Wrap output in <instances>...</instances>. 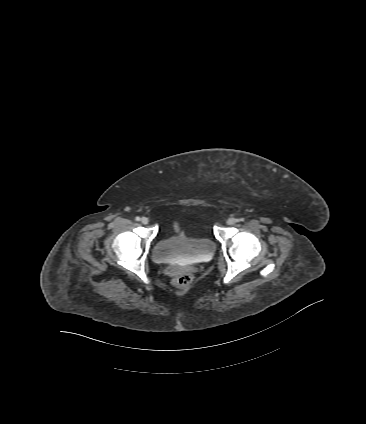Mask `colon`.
<instances>
[{
    "instance_id": "5ec220e1",
    "label": "colon",
    "mask_w": 366,
    "mask_h": 424,
    "mask_svg": "<svg viewBox=\"0 0 366 424\" xmlns=\"http://www.w3.org/2000/svg\"><path fill=\"white\" fill-rule=\"evenodd\" d=\"M191 280L192 277L187 271L181 268L174 269V285L177 288L183 289L188 287L191 283Z\"/></svg>"
}]
</instances>
